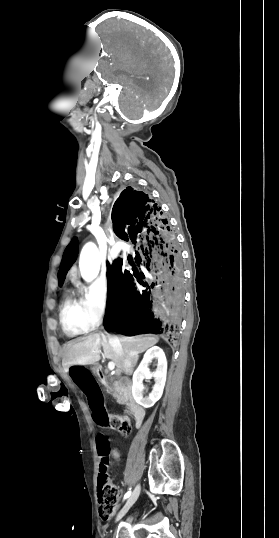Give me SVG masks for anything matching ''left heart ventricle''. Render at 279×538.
<instances>
[{"instance_id": "1", "label": "left heart ventricle", "mask_w": 279, "mask_h": 538, "mask_svg": "<svg viewBox=\"0 0 279 538\" xmlns=\"http://www.w3.org/2000/svg\"><path fill=\"white\" fill-rule=\"evenodd\" d=\"M81 208H83V207H72L71 209H72V210H76V209H81ZM97 218H98V215H95L93 219L96 220ZM84 219H85V216L82 215V216H80V217H78V218H74V221H75V222H81V221H83Z\"/></svg>"}]
</instances>
